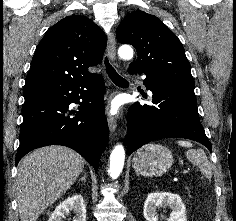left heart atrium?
I'll return each mask as SVG.
<instances>
[{"label": "left heart atrium", "mask_w": 236, "mask_h": 221, "mask_svg": "<svg viewBox=\"0 0 236 221\" xmlns=\"http://www.w3.org/2000/svg\"><path fill=\"white\" fill-rule=\"evenodd\" d=\"M112 112H116V107L115 106L112 108Z\"/></svg>", "instance_id": "1"}]
</instances>
